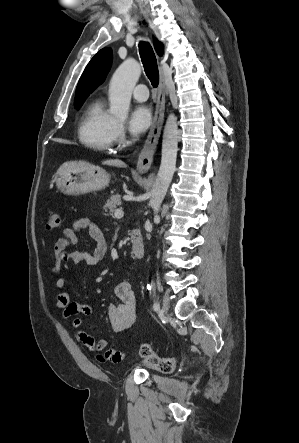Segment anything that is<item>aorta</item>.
<instances>
[{"instance_id": "1", "label": "aorta", "mask_w": 299, "mask_h": 443, "mask_svg": "<svg viewBox=\"0 0 299 443\" xmlns=\"http://www.w3.org/2000/svg\"><path fill=\"white\" fill-rule=\"evenodd\" d=\"M141 75L140 64L126 59L115 71L109 85L110 113L120 120L128 116L132 91ZM178 151L177 117L169 114L163 132L161 165L151 191L149 205L153 209L154 218L158 213L169 185L172 181Z\"/></svg>"}]
</instances>
